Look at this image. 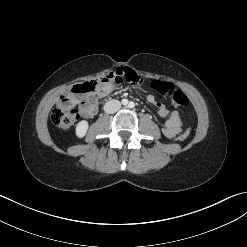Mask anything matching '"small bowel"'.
I'll return each instance as SVG.
<instances>
[{
    "instance_id": "obj_1",
    "label": "small bowel",
    "mask_w": 247,
    "mask_h": 247,
    "mask_svg": "<svg viewBox=\"0 0 247 247\" xmlns=\"http://www.w3.org/2000/svg\"><path fill=\"white\" fill-rule=\"evenodd\" d=\"M113 73L116 77L120 78V83L122 82L123 78L126 79L129 75L137 76L132 69L127 67L118 68ZM120 83L116 84L115 82H109L102 85L97 91L98 96H107L116 88H118ZM147 101L157 107V112L160 117H168L162 131L167 138H174L180 132L182 126V120L179 112L176 110L170 111L164 104L158 102L155 96L152 94L147 95ZM80 109L84 117L90 118L96 114L97 104L95 102L91 105H87L82 101L80 104Z\"/></svg>"
}]
</instances>
